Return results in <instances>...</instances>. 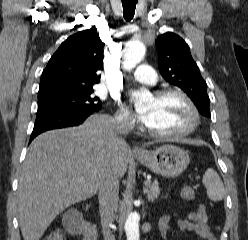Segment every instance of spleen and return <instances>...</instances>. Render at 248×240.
Returning <instances> with one entry per match:
<instances>
[{"mask_svg":"<svg viewBox=\"0 0 248 240\" xmlns=\"http://www.w3.org/2000/svg\"><path fill=\"white\" fill-rule=\"evenodd\" d=\"M203 184L207 189V196L210 200L217 202L224 197V185L217 172L208 168L203 175Z\"/></svg>","mask_w":248,"mask_h":240,"instance_id":"3e777b00","label":"spleen"}]
</instances>
